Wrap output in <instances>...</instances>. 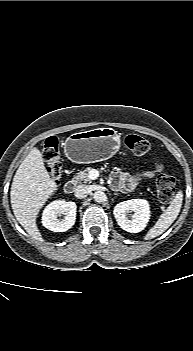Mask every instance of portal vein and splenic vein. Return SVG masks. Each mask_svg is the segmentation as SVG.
<instances>
[{
    "instance_id": "18ae733b",
    "label": "portal vein and splenic vein",
    "mask_w": 193,
    "mask_h": 351,
    "mask_svg": "<svg viewBox=\"0 0 193 351\" xmlns=\"http://www.w3.org/2000/svg\"><path fill=\"white\" fill-rule=\"evenodd\" d=\"M98 177H99V171H98V170L93 169V170H91V171L89 172V178H90L91 180H95V179H97Z\"/></svg>"
}]
</instances>
